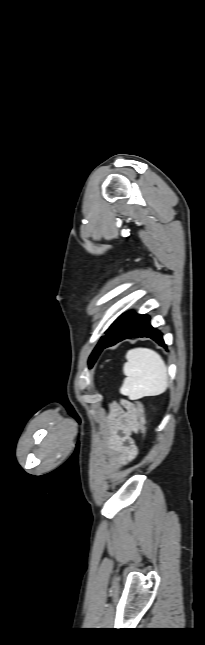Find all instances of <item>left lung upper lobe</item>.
I'll return each mask as SVG.
<instances>
[{
  "instance_id": "obj_1",
  "label": "left lung upper lobe",
  "mask_w": 205,
  "mask_h": 645,
  "mask_svg": "<svg viewBox=\"0 0 205 645\" xmlns=\"http://www.w3.org/2000/svg\"><path fill=\"white\" fill-rule=\"evenodd\" d=\"M103 337L101 338V340L99 341L98 345L95 347L94 351L92 352V354L90 356V359H89V365H91L92 362L96 359L97 354H98V350H99V346H100V343H101Z\"/></svg>"
}]
</instances>
